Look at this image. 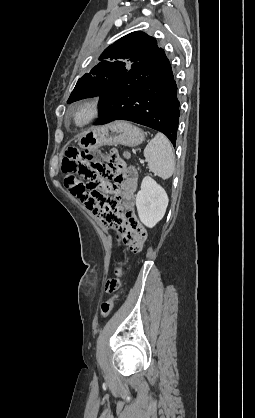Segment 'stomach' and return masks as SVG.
Segmentation results:
<instances>
[{
	"label": "stomach",
	"mask_w": 255,
	"mask_h": 418,
	"mask_svg": "<svg viewBox=\"0 0 255 418\" xmlns=\"http://www.w3.org/2000/svg\"><path fill=\"white\" fill-rule=\"evenodd\" d=\"M145 139L142 129L127 122H116L105 126L92 127L79 139L84 149H94L102 145H126L134 147Z\"/></svg>",
	"instance_id": "0dacf381"
}]
</instances>
